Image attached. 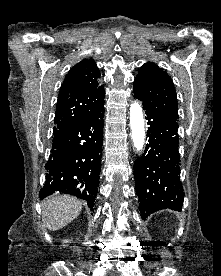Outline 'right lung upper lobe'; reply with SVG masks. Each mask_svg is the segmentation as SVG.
I'll return each mask as SVG.
<instances>
[{"label":"right lung upper lobe","mask_w":221,"mask_h":276,"mask_svg":"<svg viewBox=\"0 0 221 276\" xmlns=\"http://www.w3.org/2000/svg\"><path fill=\"white\" fill-rule=\"evenodd\" d=\"M99 78L93 59H84L71 68L59 92L53 133L83 122L104 104L105 92Z\"/></svg>","instance_id":"1"}]
</instances>
